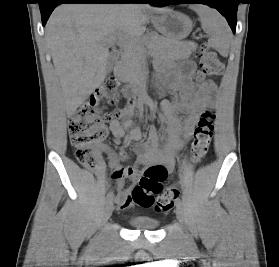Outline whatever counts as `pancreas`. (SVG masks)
<instances>
[{
    "label": "pancreas",
    "instance_id": "obj_1",
    "mask_svg": "<svg viewBox=\"0 0 279 267\" xmlns=\"http://www.w3.org/2000/svg\"><path fill=\"white\" fill-rule=\"evenodd\" d=\"M165 59L188 58L196 50L193 42H178L151 33L141 40H135L123 48L119 74L126 81H136L142 74V64L146 50Z\"/></svg>",
    "mask_w": 279,
    "mask_h": 267
}]
</instances>
